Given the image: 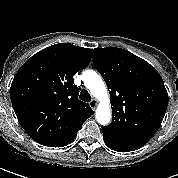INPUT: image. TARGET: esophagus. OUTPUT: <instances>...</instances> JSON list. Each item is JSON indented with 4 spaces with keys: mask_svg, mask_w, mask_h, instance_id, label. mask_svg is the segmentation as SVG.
I'll return each mask as SVG.
<instances>
[{
    "mask_svg": "<svg viewBox=\"0 0 178 178\" xmlns=\"http://www.w3.org/2000/svg\"><path fill=\"white\" fill-rule=\"evenodd\" d=\"M89 105L94 110L98 105V101L96 99H93L90 101Z\"/></svg>",
    "mask_w": 178,
    "mask_h": 178,
    "instance_id": "1",
    "label": "esophagus"
}]
</instances>
